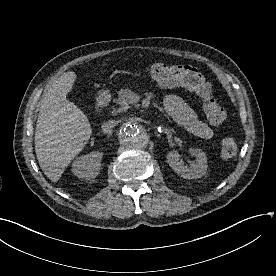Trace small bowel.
<instances>
[{
    "mask_svg": "<svg viewBox=\"0 0 276 276\" xmlns=\"http://www.w3.org/2000/svg\"><path fill=\"white\" fill-rule=\"evenodd\" d=\"M164 106L167 115L178 126L203 139L214 137V129L200 120L194 110L181 97L177 95L167 96Z\"/></svg>",
    "mask_w": 276,
    "mask_h": 276,
    "instance_id": "small-bowel-1",
    "label": "small bowel"
}]
</instances>
